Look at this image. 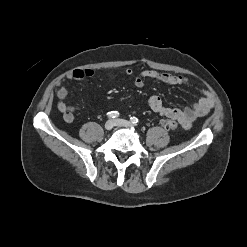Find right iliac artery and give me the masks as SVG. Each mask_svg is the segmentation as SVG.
Wrapping results in <instances>:
<instances>
[{
    "label": "right iliac artery",
    "mask_w": 247,
    "mask_h": 247,
    "mask_svg": "<svg viewBox=\"0 0 247 247\" xmlns=\"http://www.w3.org/2000/svg\"><path fill=\"white\" fill-rule=\"evenodd\" d=\"M107 116L109 118H113L114 119V118H117L119 116V113L117 111H111V112L107 113Z\"/></svg>",
    "instance_id": "1"
}]
</instances>
